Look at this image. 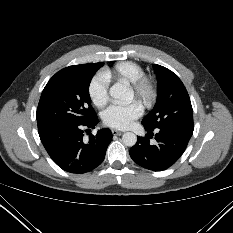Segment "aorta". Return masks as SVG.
<instances>
[{"mask_svg": "<svg viewBox=\"0 0 233 233\" xmlns=\"http://www.w3.org/2000/svg\"><path fill=\"white\" fill-rule=\"evenodd\" d=\"M111 97L117 100L130 102L133 98L131 89L122 83H115L109 90ZM122 142L124 145L132 147L137 142V136L132 132H126L122 136Z\"/></svg>", "mask_w": 233, "mask_h": 233, "instance_id": "1", "label": "aorta"}]
</instances>
